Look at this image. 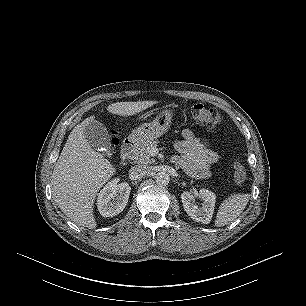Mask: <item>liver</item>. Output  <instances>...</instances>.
Returning <instances> with one entry per match:
<instances>
[{
    "label": "liver",
    "instance_id": "obj_1",
    "mask_svg": "<svg viewBox=\"0 0 306 306\" xmlns=\"http://www.w3.org/2000/svg\"><path fill=\"white\" fill-rule=\"evenodd\" d=\"M157 101L116 102L107 107L113 115L130 116ZM86 118L74 127L57 160L52 174V194L67 217L80 226L95 229L93 204L99 189L115 174L114 166L94 151L84 135L85 127L94 121Z\"/></svg>",
    "mask_w": 306,
    "mask_h": 306
}]
</instances>
